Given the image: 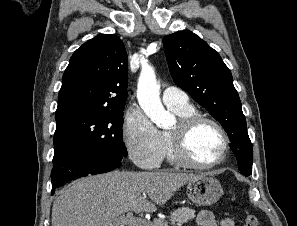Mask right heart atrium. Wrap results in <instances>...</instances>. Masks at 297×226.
Returning a JSON list of instances; mask_svg holds the SVG:
<instances>
[{"instance_id":"1","label":"right heart atrium","mask_w":297,"mask_h":226,"mask_svg":"<svg viewBox=\"0 0 297 226\" xmlns=\"http://www.w3.org/2000/svg\"><path fill=\"white\" fill-rule=\"evenodd\" d=\"M122 138L129 157L138 167L159 166L165 155L162 134L137 105L126 113Z\"/></svg>"}]
</instances>
